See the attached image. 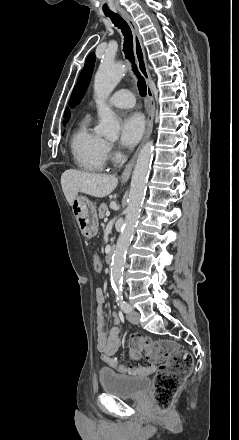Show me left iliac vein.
<instances>
[{"mask_svg":"<svg viewBox=\"0 0 239 440\" xmlns=\"http://www.w3.org/2000/svg\"><path fill=\"white\" fill-rule=\"evenodd\" d=\"M127 319L130 323L138 325L140 322V314L136 311H131L127 314Z\"/></svg>","mask_w":239,"mask_h":440,"instance_id":"4c4485c4","label":"left iliac vein"}]
</instances>
